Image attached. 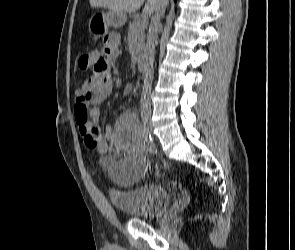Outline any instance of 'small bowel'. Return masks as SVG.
Masks as SVG:
<instances>
[{
  "label": "small bowel",
  "mask_w": 295,
  "mask_h": 250,
  "mask_svg": "<svg viewBox=\"0 0 295 250\" xmlns=\"http://www.w3.org/2000/svg\"><path fill=\"white\" fill-rule=\"evenodd\" d=\"M119 40L117 34L110 33L104 40L103 48L91 53L92 74L76 89L75 104L84 102L91 109L89 122L79 124L85 147L99 153H107L111 149L118 153L120 156L111 166L109 176L116 185L127 187L139 180L150 167L149 159L143 155L142 132L136 116L132 112H125L114 126L106 125L101 131L99 112L94 107L112 92L111 64L119 56Z\"/></svg>",
  "instance_id": "small-bowel-1"
}]
</instances>
